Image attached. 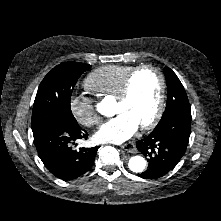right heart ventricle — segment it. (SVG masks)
I'll return each mask as SVG.
<instances>
[{
	"label": "right heart ventricle",
	"mask_w": 221,
	"mask_h": 221,
	"mask_svg": "<svg viewBox=\"0 0 221 221\" xmlns=\"http://www.w3.org/2000/svg\"><path fill=\"white\" fill-rule=\"evenodd\" d=\"M136 67L106 65L91 72L84 81L85 89L100 97L116 98L124 80Z\"/></svg>",
	"instance_id": "obj_1"
}]
</instances>
